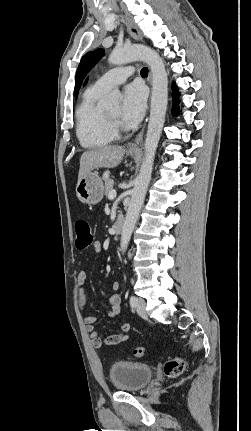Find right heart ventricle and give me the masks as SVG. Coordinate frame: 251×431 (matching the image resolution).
<instances>
[{"instance_id":"e07e8e85","label":"right heart ventricle","mask_w":251,"mask_h":431,"mask_svg":"<svg viewBox=\"0 0 251 431\" xmlns=\"http://www.w3.org/2000/svg\"><path fill=\"white\" fill-rule=\"evenodd\" d=\"M105 92L90 86L76 109V135L85 148H98L117 139V132L109 124L99 99Z\"/></svg>"}]
</instances>
